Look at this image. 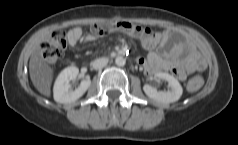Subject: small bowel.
<instances>
[{
  "label": "small bowel",
  "instance_id": "c3829d8e",
  "mask_svg": "<svg viewBox=\"0 0 238 145\" xmlns=\"http://www.w3.org/2000/svg\"><path fill=\"white\" fill-rule=\"evenodd\" d=\"M80 34L81 30L79 28L71 30L68 34L70 43L75 44ZM88 39H92V37ZM140 42L148 50V53L146 57L138 58V63L149 74L171 70L183 80L187 74L203 71L206 67L205 60L195 51L183 52V57L179 59H164L160 53L153 50L156 45H159L161 51L176 52L182 50L180 46L169 44L164 35L158 34L141 37Z\"/></svg>",
  "mask_w": 238,
  "mask_h": 145
}]
</instances>
